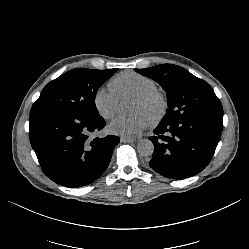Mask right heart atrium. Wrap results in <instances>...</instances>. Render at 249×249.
I'll use <instances>...</instances> for the list:
<instances>
[{
  "mask_svg": "<svg viewBox=\"0 0 249 249\" xmlns=\"http://www.w3.org/2000/svg\"><path fill=\"white\" fill-rule=\"evenodd\" d=\"M92 102L98 115L109 119L117 112L119 97L112 89L102 85L95 90Z\"/></svg>",
  "mask_w": 249,
  "mask_h": 249,
  "instance_id": "d8ad5b80",
  "label": "right heart atrium"
}]
</instances>
